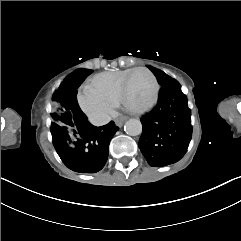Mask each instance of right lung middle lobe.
Wrapping results in <instances>:
<instances>
[{"label":"right lung middle lobe","mask_w":241,"mask_h":241,"mask_svg":"<svg viewBox=\"0 0 241 241\" xmlns=\"http://www.w3.org/2000/svg\"><path fill=\"white\" fill-rule=\"evenodd\" d=\"M85 77L92 73V70H76ZM68 92L66 79L61 83L58 90L54 93L51 103V132L72 131L74 123L69 108L66 105L65 94Z\"/></svg>","instance_id":"obj_1"}]
</instances>
